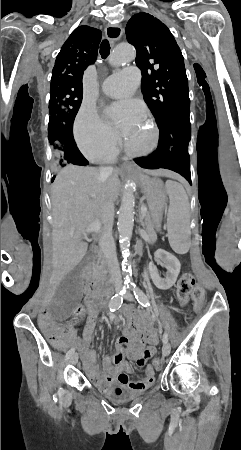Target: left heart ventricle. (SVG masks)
Returning a JSON list of instances; mask_svg holds the SVG:
<instances>
[{
  "label": "left heart ventricle",
  "instance_id": "left-heart-ventricle-1",
  "mask_svg": "<svg viewBox=\"0 0 241 450\" xmlns=\"http://www.w3.org/2000/svg\"><path fill=\"white\" fill-rule=\"evenodd\" d=\"M149 122H151L147 117H144L141 121L131 124L126 127L124 131V136L127 140V148L125 149L127 153L135 156L137 153H144L146 151V141L150 139Z\"/></svg>",
  "mask_w": 241,
  "mask_h": 450
}]
</instances>
